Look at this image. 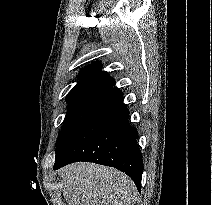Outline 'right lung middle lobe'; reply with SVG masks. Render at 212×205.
<instances>
[{
	"label": "right lung middle lobe",
	"instance_id": "right-lung-middle-lobe-1",
	"mask_svg": "<svg viewBox=\"0 0 212 205\" xmlns=\"http://www.w3.org/2000/svg\"><path fill=\"white\" fill-rule=\"evenodd\" d=\"M101 96L87 97L68 102V112L56 144V158L68 147L70 142L95 111Z\"/></svg>",
	"mask_w": 212,
	"mask_h": 205
}]
</instances>
